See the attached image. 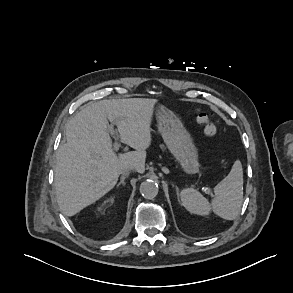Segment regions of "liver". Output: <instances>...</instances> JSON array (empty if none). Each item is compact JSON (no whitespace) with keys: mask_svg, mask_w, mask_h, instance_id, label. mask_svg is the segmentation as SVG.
Instances as JSON below:
<instances>
[{"mask_svg":"<svg viewBox=\"0 0 293 293\" xmlns=\"http://www.w3.org/2000/svg\"><path fill=\"white\" fill-rule=\"evenodd\" d=\"M155 99L103 100L86 105L66 125L56 154L55 189L65 216H73L114 188L124 166L144 173ZM116 123L122 143L136 151L116 154L109 135Z\"/></svg>","mask_w":293,"mask_h":293,"instance_id":"6515ba94","label":"liver"}]
</instances>
